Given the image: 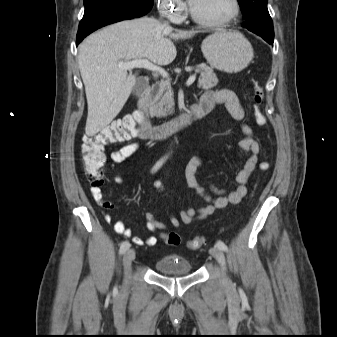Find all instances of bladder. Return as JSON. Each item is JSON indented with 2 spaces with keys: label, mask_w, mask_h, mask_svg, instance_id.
Returning a JSON list of instances; mask_svg holds the SVG:
<instances>
[{
  "label": "bladder",
  "mask_w": 337,
  "mask_h": 337,
  "mask_svg": "<svg viewBox=\"0 0 337 337\" xmlns=\"http://www.w3.org/2000/svg\"><path fill=\"white\" fill-rule=\"evenodd\" d=\"M156 271L162 275H186L192 272L190 262L177 254L164 255L155 263Z\"/></svg>",
  "instance_id": "bladder-1"
}]
</instances>
